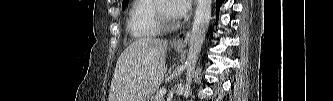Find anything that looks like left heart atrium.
<instances>
[{
    "mask_svg": "<svg viewBox=\"0 0 333 101\" xmlns=\"http://www.w3.org/2000/svg\"><path fill=\"white\" fill-rule=\"evenodd\" d=\"M190 4V0H172L169 5V11L173 16L181 17L188 11Z\"/></svg>",
    "mask_w": 333,
    "mask_h": 101,
    "instance_id": "left-heart-atrium-1",
    "label": "left heart atrium"
}]
</instances>
